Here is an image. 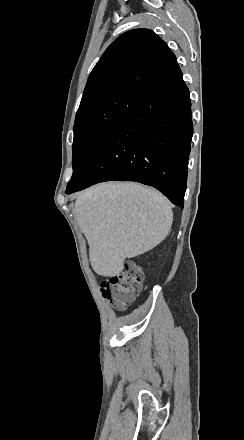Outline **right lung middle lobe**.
<instances>
[{"instance_id":"dd1d6c3e","label":"right lung middle lobe","mask_w":244,"mask_h":440,"mask_svg":"<svg viewBox=\"0 0 244 440\" xmlns=\"http://www.w3.org/2000/svg\"><path fill=\"white\" fill-rule=\"evenodd\" d=\"M140 98L119 94L108 100L80 104L74 124L73 175L67 186L80 178L101 145Z\"/></svg>"}]
</instances>
